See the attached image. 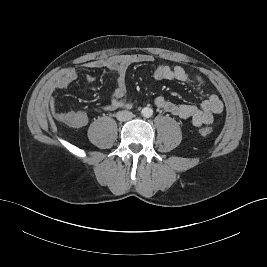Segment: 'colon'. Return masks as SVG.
Instances as JSON below:
<instances>
[{"label": "colon", "mask_w": 267, "mask_h": 267, "mask_svg": "<svg viewBox=\"0 0 267 267\" xmlns=\"http://www.w3.org/2000/svg\"><path fill=\"white\" fill-rule=\"evenodd\" d=\"M199 133L202 136H207V135H210L212 133V129L210 127H202L199 129Z\"/></svg>", "instance_id": "obj_1"}]
</instances>
